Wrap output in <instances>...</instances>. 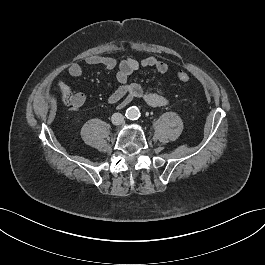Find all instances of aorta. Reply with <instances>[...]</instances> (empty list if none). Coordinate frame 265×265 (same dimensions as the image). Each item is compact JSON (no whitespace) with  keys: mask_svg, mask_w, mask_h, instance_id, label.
<instances>
[{"mask_svg":"<svg viewBox=\"0 0 265 265\" xmlns=\"http://www.w3.org/2000/svg\"><path fill=\"white\" fill-rule=\"evenodd\" d=\"M126 116L129 119H137L140 116V111L136 106L129 107L126 110Z\"/></svg>","mask_w":265,"mask_h":265,"instance_id":"762f6f07","label":"aorta"}]
</instances>
